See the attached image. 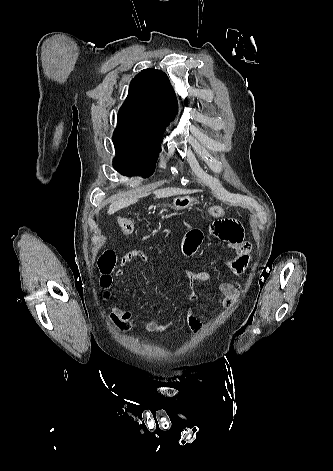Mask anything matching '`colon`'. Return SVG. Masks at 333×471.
Listing matches in <instances>:
<instances>
[{
  "label": "colon",
  "mask_w": 333,
  "mask_h": 471,
  "mask_svg": "<svg viewBox=\"0 0 333 471\" xmlns=\"http://www.w3.org/2000/svg\"><path fill=\"white\" fill-rule=\"evenodd\" d=\"M208 213L212 217H222L224 215V208L219 205L209 207ZM118 224L125 235H131L135 230L134 222L125 217L118 219ZM116 263V254L112 250L103 252L98 258V268L101 273L100 284L103 287H109L111 284V272Z\"/></svg>",
  "instance_id": "obj_1"
}]
</instances>
